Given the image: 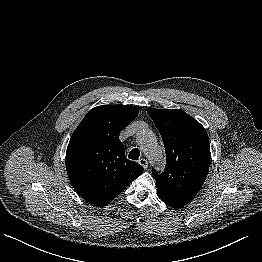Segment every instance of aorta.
<instances>
[{"label":"aorta","mask_w":262,"mask_h":262,"mask_svg":"<svg viewBox=\"0 0 262 262\" xmlns=\"http://www.w3.org/2000/svg\"><path fill=\"white\" fill-rule=\"evenodd\" d=\"M137 141L151 164L157 166L163 162L162 149L158 143H156L152 131L143 129L137 134Z\"/></svg>","instance_id":"obj_1"}]
</instances>
